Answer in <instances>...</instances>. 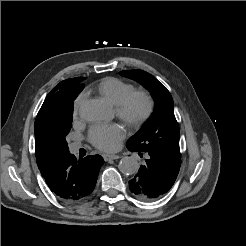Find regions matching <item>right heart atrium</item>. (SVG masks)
I'll use <instances>...</instances> for the list:
<instances>
[{
	"mask_svg": "<svg viewBox=\"0 0 246 246\" xmlns=\"http://www.w3.org/2000/svg\"><path fill=\"white\" fill-rule=\"evenodd\" d=\"M85 98V94L81 93L79 94L75 100H74V104H73V114L76 117L80 111V108L82 106V103L84 101Z\"/></svg>",
	"mask_w": 246,
	"mask_h": 246,
	"instance_id": "d8ad5b80",
	"label": "right heart atrium"
}]
</instances>
